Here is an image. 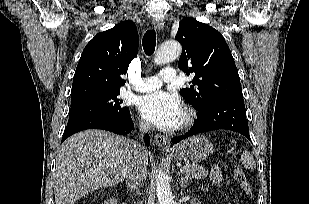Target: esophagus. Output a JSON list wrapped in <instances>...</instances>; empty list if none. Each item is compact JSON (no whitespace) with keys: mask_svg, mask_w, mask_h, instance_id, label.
Wrapping results in <instances>:
<instances>
[{"mask_svg":"<svg viewBox=\"0 0 309 204\" xmlns=\"http://www.w3.org/2000/svg\"><path fill=\"white\" fill-rule=\"evenodd\" d=\"M152 26L156 30H162L164 25L161 19L154 18L152 20ZM155 143L160 147L162 150H169L171 148L170 139L163 135H156L155 136Z\"/></svg>","mask_w":309,"mask_h":204,"instance_id":"1","label":"esophagus"}]
</instances>
